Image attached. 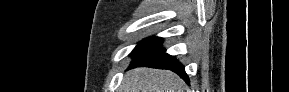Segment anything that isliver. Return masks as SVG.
I'll return each instance as SVG.
<instances>
[{
	"label": "liver",
	"instance_id": "6515ba94",
	"mask_svg": "<svg viewBox=\"0 0 289 92\" xmlns=\"http://www.w3.org/2000/svg\"><path fill=\"white\" fill-rule=\"evenodd\" d=\"M184 81L175 73L153 68H135L122 82L121 92H182Z\"/></svg>",
	"mask_w": 289,
	"mask_h": 92
}]
</instances>
